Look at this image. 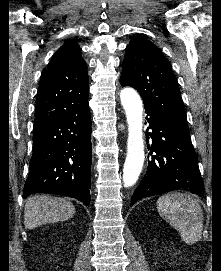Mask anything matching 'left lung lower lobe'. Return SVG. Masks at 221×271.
<instances>
[{
    "mask_svg": "<svg viewBox=\"0 0 221 271\" xmlns=\"http://www.w3.org/2000/svg\"><path fill=\"white\" fill-rule=\"evenodd\" d=\"M148 129L146 140L152 139L146 175L136 188L131 206L141 198L186 189L200 195L203 191L197 154L191 143L189 130H186L159 114L145 108ZM146 124V122H145ZM149 147V146H148Z\"/></svg>",
    "mask_w": 221,
    "mask_h": 271,
    "instance_id": "0a47b994",
    "label": "left lung lower lobe"
}]
</instances>
